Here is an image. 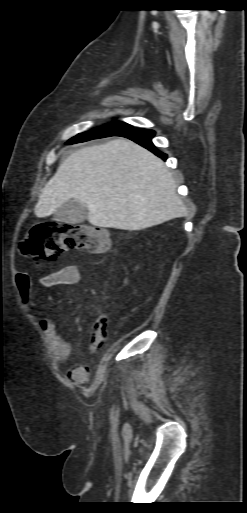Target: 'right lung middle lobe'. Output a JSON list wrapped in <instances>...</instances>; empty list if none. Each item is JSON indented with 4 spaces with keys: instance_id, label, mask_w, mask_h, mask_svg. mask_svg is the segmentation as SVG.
<instances>
[{
    "instance_id": "right-lung-middle-lobe-1",
    "label": "right lung middle lobe",
    "mask_w": 247,
    "mask_h": 513,
    "mask_svg": "<svg viewBox=\"0 0 247 513\" xmlns=\"http://www.w3.org/2000/svg\"><path fill=\"white\" fill-rule=\"evenodd\" d=\"M131 125L120 122V121H114L112 124L105 125L103 127H99L96 129H93L91 131L78 134L77 136L71 138L69 142L71 141L73 143L78 142H84L92 139H98L108 136H114L128 128H130Z\"/></svg>"
}]
</instances>
